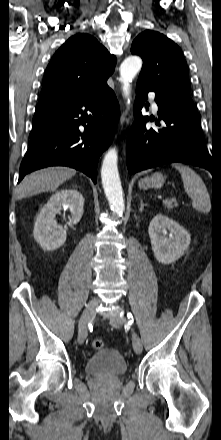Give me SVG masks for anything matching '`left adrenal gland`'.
I'll use <instances>...</instances> for the list:
<instances>
[{
    "label": "left adrenal gland",
    "instance_id": "left-adrenal-gland-1",
    "mask_svg": "<svg viewBox=\"0 0 221 440\" xmlns=\"http://www.w3.org/2000/svg\"><path fill=\"white\" fill-rule=\"evenodd\" d=\"M146 205H147V204H144V203H143V200L140 199V209H139V211L142 212V211L144 210V206H146Z\"/></svg>",
    "mask_w": 221,
    "mask_h": 440
}]
</instances>
